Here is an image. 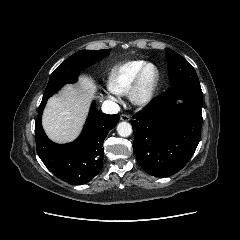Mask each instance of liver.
I'll return each instance as SVG.
<instances>
[{"label":"liver","instance_id":"liver-1","mask_svg":"<svg viewBox=\"0 0 240 240\" xmlns=\"http://www.w3.org/2000/svg\"><path fill=\"white\" fill-rule=\"evenodd\" d=\"M96 91L95 82L90 77L82 76L78 87L66 85L59 95L48 100L42 124L52 141L68 143L78 137Z\"/></svg>","mask_w":240,"mask_h":240}]
</instances>
